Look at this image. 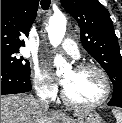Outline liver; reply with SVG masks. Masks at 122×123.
Here are the masks:
<instances>
[{"label": "liver", "instance_id": "1", "mask_svg": "<svg viewBox=\"0 0 122 123\" xmlns=\"http://www.w3.org/2000/svg\"><path fill=\"white\" fill-rule=\"evenodd\" d=\"M80 113L75 111L73 115ZM1 123H53V117L48 109L41 111L31 95H8L1 96Z\"/></svg>", "mask_w": 122, "mask_h": 123}]
</instances>
